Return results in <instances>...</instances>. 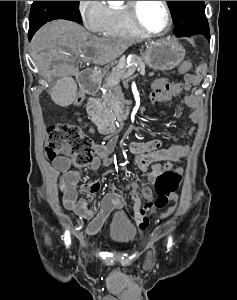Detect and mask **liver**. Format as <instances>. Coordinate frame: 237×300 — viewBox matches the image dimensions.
<instances>
[{
  "label": "liver",
  "mask_w": 237,
  "mask_h": 300,
  "mask_svg": "<svg viewBox=\"0 0 237 300\" xmlns=\"http://www.w3.org/2000/svg\"><path fill=\"white\" fill-rule=\"evenodd\" d=\"M130 39H101L72 21H52L41 27L31 41L32 59L43 77L77 75L81 61L94 65L114 63Z\"/></svg>",
  "instance_id": "obj_1"
}]
</instances>
